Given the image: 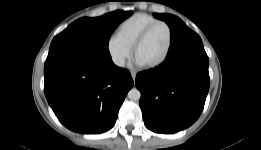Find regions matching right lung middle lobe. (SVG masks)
Instances as JSON below:
<instances>
[{"label":"right lung middle lobe","instance_id":"dd1d6c3e","mask_svg":"<svg viewBox=\"0 0 261 150\" xmlns=\"http://www.w3.org/2000/svg\"><path fill=\"white\" fill-rule=\"evenodd\" d=\"M131 14L117 10L97 18L78 19L53 39L49 55L57 52L110 55L108 42L112 32Z\"/></svg>","mask_w":261,"mask_h":150}]
</instances>
